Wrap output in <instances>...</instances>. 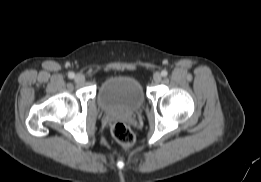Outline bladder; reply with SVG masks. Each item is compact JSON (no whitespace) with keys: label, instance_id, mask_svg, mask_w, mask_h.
Segmentation results:
<instances>
[{"label":"bladder","instance_id":"31cf9c89","mask_svg":"<svg viewBox=\"0 0 261 182\" xmlns=\"http://www.w3.org/2000/svg\"><path fill=\"white\" fill-rule=\"evenodd\" d=\"M97 101L107 113H132L142 107L144 94L136 79L129 76H112L100 84Z\"/></svg>","mask_w":261,"mask_h":182}]
</instances>
